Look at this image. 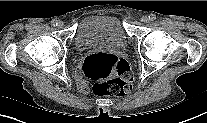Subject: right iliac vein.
Segmentation results:
<instances>
[{
	"mask_svg": "<svg viewBox=\"0 0 207 123\" xmlns=\"http://www.w3.org/2000/svg\"><path fill=\"white\" fill-rule=\"evenodd\" d=\"M63 26H64V23H63L62 21H59V22H58V27H59V28H62Z\"/></svg>",
	"mask_w": 207,
	"mask_h": 123,
	"instance_id": "63e3f726",
	"label": "right iliac vein"
}]
</instances>
